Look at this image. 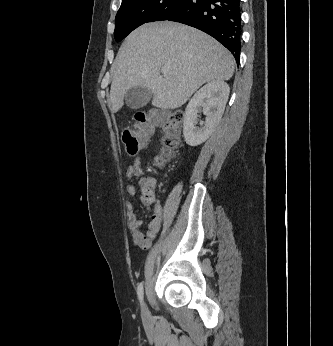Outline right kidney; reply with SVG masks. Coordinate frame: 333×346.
Masks as SVG:
<instances>
[{"mask_svg":"<svg viewBox=\"0 0 333 346\" xmlns=\"http://www.w3.org/2000/svg\"><path fill=\"white\" fill-rule=\"evenodd\" d=\"M229 93L227 83L215 80L199 89L190 99L183 122V136L188 145L197 146L209 138L223 115ZM199 112L206 116L200 128L196 127Z\"/></svg>","mask_w":333,"mask_h":346,"instance_id":"obj_1","label":"right kidney"}]
</instances>
